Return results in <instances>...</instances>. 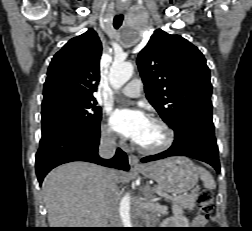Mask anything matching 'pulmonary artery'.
<instances>
[{"label":"pulmonary artery","instance_id":"obj_1","mask_svg":"<svg viewBox=\"0 0 252 231\" xmlns=\"http://www.w3.org/2000/svg\"><path fill=\"white\" fill-rule=\"evenodd\" d=\"M142 91V82L140 79L129 81L121 90L122 94L128 97H139Z\"/></svg>","mask_w":252,"mask_h":231}]
</instances>
